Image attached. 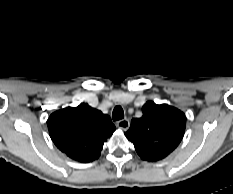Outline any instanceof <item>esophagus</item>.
Listing matches in <instances>:
<instances>
[{
	"instance_id": "34e87169",
	"label": "esophagus",
	"mask_w": 233,
	"mask_h": 194,
	"mask_svg": "<svg viewBox=\"0 0 233 194\" xmlns=\"http://www.w3.org/2000/svg\"><path fill=\"white\" fill-rule=\"evenodd\" d=\"M130 126V122L128 119H121L117 122V127L122 130H127Z\"/></svg>"
}]
</instances>
